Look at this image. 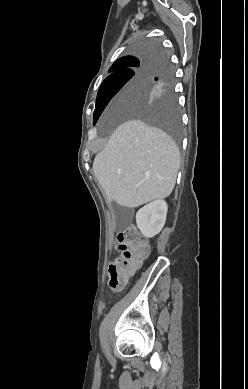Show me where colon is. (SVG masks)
<instances>
[{
  "instance_id": "obj_1",
  "label": "colon",
  "mask_w": 248,
  "mask_h": 389,
  "mask_svg": "<svg viewBox=\"0 0 248 389\" xmlns=\"http://www.w3.org/2000/svg\"><path fill=\"white\" fill-rule=\"evenodd\" d=\"M115 247L119 257L109 265V285L112 289H121L128 284L141 261L148 256L150 246L132 224L117 234Z\"/></svg>"
}]
</instances>
